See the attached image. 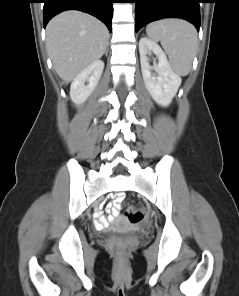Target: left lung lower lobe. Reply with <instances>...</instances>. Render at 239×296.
Returning a JSON list of instances; mask_svg holds the SVG:
<instances>
[{"label": "left lung lower lobe", "mask_w": 239, "mask_h": 296, "mask_svg": "<svg viewBox=\"0 0 239 296\" xmlns=\"http://www.w3.org/2000/svg\"><path fill=\"white\" fill-rule=\"evenodd\" d=\"M135 7V26L138 32L144 25L162 18H182L199 31L201 0H132Z\"/></svg>", "instance_id": "left-lung-lower-lobe-1"}]
</instances>
